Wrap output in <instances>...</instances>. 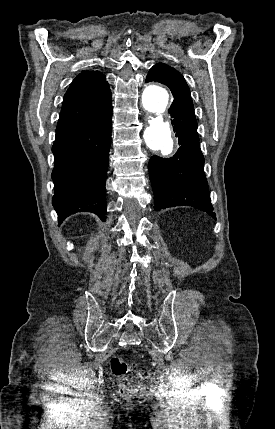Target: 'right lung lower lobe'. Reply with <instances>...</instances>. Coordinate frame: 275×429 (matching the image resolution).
<instances>
[{"label":"right lung lower lobe","instance_id":"1","mask_svg":"<svg viewBox=\"0 0 275 429\" xmlns=\"http://www.w3.org/2000/svg\"><path fill=\"white\" fill-rule=\"evenodd\" d=\"M112 110L106 116L56 130L52 147L55 194L52 204L59 223L76 212H92L105 220V184L111 143Z\"/></svg>","mask_w":275,"mask_h":429}]
</instances>
